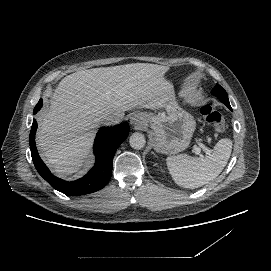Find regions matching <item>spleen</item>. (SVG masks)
<instances>
[{
  "label": "spleen",
  "mask_w": 271,
  "mask_h": 271,
  "mask_svg": "<svg viewBox=\"0 0 271 271\" xmlns=\"http://www.w3.org/2000/svg\"><path fill=\"white\" fill-rule=\"evenodd\" d=\"M232 150L229 138L220 139L212 152L205 157L183 158L179 155L166 158V166L175 183L185 188H196L216 178L226 166Z\"/></svg>",
  "instance_id": "obj_1"
}]
</instances>
